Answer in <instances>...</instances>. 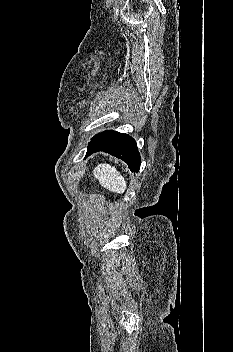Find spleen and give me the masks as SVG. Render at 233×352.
<instances>
[{"label": "spleen", "instance_id": "spleen-1", "mask_svg": "<svg viewBox=\"0 0 233 352\" xmlns=\"http://www.w3.org/2000/svg\"><path fill=\"white\" fill-rule=\"evenodd\" d=\"M93 175L99 181L100 185L109 191L122 194L127 188L125 178L115 167L109 164L101 163L97 165L93 171Z\"/></svg>", "mask_w": 233, "mask_h": 352}]
</instances>
